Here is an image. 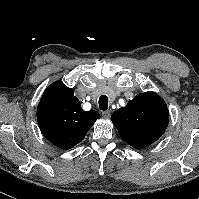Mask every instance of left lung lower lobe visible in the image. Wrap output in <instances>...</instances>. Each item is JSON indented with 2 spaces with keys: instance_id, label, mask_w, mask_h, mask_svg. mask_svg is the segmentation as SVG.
<instances>
[{
  "instance_id": "obj_1",
  "label": "left lung lower lobe",
  "mask_w": 199,
  "mask_h": 199,
  "mask_svg": "<svg viewBox=\"0 0 199 199\" xmlns=\"http://www.w3.org/2000/svg\"><path fill=\"white\" fill-rule=\"evenodd\" d=\"M124 141L126 143H128L129 145H131L132 147L136 148V149H142L144 147H147L148 145L139 141H134V140H130V139H124Z\"/></svg>"
}]
</instances>
